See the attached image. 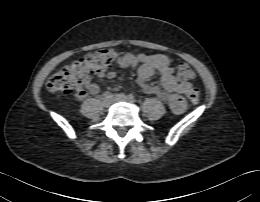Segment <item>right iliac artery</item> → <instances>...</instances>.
Wrapping results in <instances>:
<instances>
[{"instance_id":"82829eb1","label":"right iliac artery","mask_w":260,"mask_h":202,"mask_svg":"<svg viewBox=\"0 0 260 202\" xmlns=\"http://www.w3.org/2000/svg\"><path fill=\"white\" fill-rule=\"evenodd\" d=\"M104 96H105V97H109V98H111V97H112V93H110V92H106V93L104 94Z\"/></svg>"}]
</instances>
